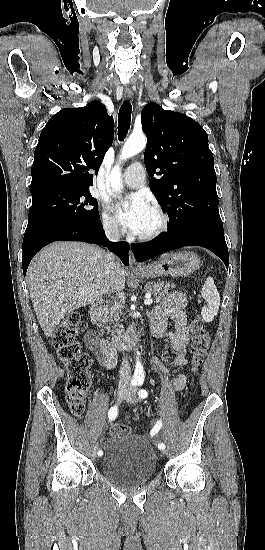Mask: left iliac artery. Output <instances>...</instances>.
I'll list each match as a JSON object with an SVG mask.
<instances>
[{"mask_svg":"<svg viewBox=\"0 0 265 550\" xmlns=\"http://www.w3.org/2000/svg\"><path fill=\"white\" fill-rule=\"evenodd\" d=\"M143 382H144V379H142V378H141V379H138V380L136 381V385H142ZM138 395H139L140 398H146V397L148 396V392H147L145 389H141V390H139ZM161 427H162V422H161V420H159V421L155 424V426L153 427V429L151 430V436L155 435V434L160 430ZM157 447H158L159 449H162V450H163V449H165V444H163V443H158V444H157Z\"/></svg>","mask_w":265,"mask_h":550,"instance_id":"obj_1","label":"left iliac artery"}]
</instances>
